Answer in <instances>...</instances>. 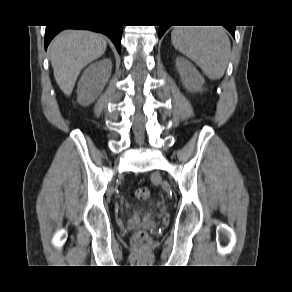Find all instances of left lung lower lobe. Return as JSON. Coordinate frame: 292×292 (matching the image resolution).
Returning <instances> with one entry per match:
<instances>
[{
	"label": "left lung lower lobe",
	"mask_w": 292,
	"mask_h": 292,
	"mask_svg": "<svg viewBox=\"0 0 292 292\" xmlns=\"http://www.w3.org/2000/svg\"><path fill=\"white\" fill-rule=\"evenodd\" d=\"M169 26H160V31H159V37H161L164 32L168 29ZM230 32L231 34L234 36L235 34V26H225Z\"/></svg>",
	"instance_id": "left-lung-lower-lobe-1"
}]
</instances>
